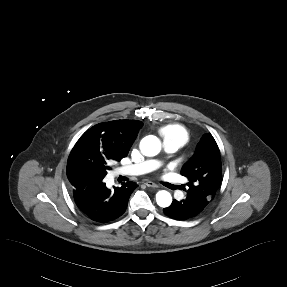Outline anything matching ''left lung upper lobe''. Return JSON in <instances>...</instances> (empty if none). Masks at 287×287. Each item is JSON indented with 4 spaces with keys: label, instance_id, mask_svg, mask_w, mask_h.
Here are the masks:
<instances>
[{
    "label": "left lung upper lobe",
    "instance_id": "1",
    "mask_svg": "<svg viewBox=\"0 0 287 287\" xmlns=\"http://www.w3.org/2000/svg\"><path fill=\"white\" fill-rule=\"evenodd\" d=\"M221 172V156L217 143L210 133L205 134L194 156L181 170V174L189 180L187 196L207 206L220 186Z\"/></svg>",
    "mask_w": 287,
    "mask_h": 287
}]
</instances>
